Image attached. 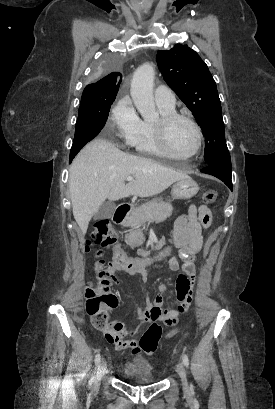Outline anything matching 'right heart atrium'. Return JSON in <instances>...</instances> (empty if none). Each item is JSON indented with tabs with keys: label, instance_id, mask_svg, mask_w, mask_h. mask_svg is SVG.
Listing matches in <instances>:
<instances>
[{
	"label": "right heart atrium",
	"instance_id": "1",
	"mask_svg": "<svg viewBox=\"0 0 275 409\" xmlns=\"http://www.w3.org/2000/svg\"><path fill=\"white\" fill-rule=\"evenodd\" d=\"M110 122L115 133V139L111 143H127L128 152L134 144L141 123L129 100L123 99L114 106Z\"/></svg>",
	"mask_w": 275,
	"mask_h": 409
}]
</instances>
